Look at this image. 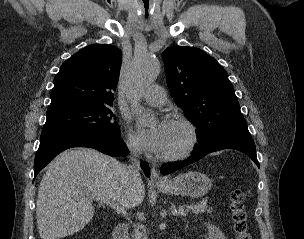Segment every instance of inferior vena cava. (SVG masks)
Instances as JSON below:
<instances>
[{"label": "inferior vena cava", "instance_id": "602c4592", "mask_svg": "<svg viewBox=\"0 0 304 239\" xmlns=\"http://www.w3.org/2000/svg\"><path fill=\"white\" fill-rule=\"evenodd\" d=\"M127 146L130 150V162L131 164L126 167L125 175L129 184L137 183L141 179L139 169H140V162H139V155L140 149L132 144L131 142L127 143Z\"/></svg>", "mask_w": 304, "mask_h": 239}]
</instances>
